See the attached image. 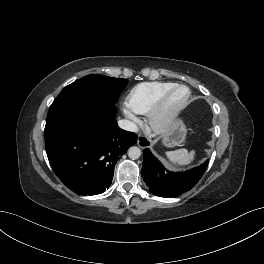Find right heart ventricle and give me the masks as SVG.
Masks as SVG:
<instances>
[{"mask_svg":"<svg viewBox=\"0 0 264 264\" xmlns=\"http://www.w3.org/2000/svg\"><path fill=\"white\" fill-rule=\"evenodd\" d=\"M172 82H143L134 86L128 96L127 104L131 111L137 114H147L159 96L169 87Z\"/></svg>","mask_w":264,"mask_h":264,"instance_id":"e07e8e85","label":"right heart ventricle"}]
</instances>
